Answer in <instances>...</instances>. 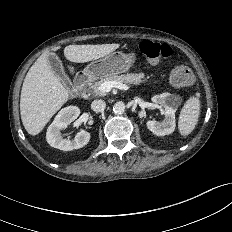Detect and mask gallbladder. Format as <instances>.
<instances>
[{
	"instance_id": "gallbladder-1",
	"label": "gallbladder",
	"mask_w": 232,
	"mask_h": 232,
	"mask_svg": "<svg viewBox=\"0 0 232 232\" xmlns=\"http://www.w3.org/2000/svg\"><path fill=\"white\" fill-rule=\"evenodd\" d=\"M47 62L53 73L66 85H71L70 79L64 71L61 60L55 53H49Z\"/></svg>"
}]
</instances>
